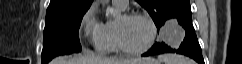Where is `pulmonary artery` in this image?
Listing matches in <instances>:
<instances>
[{"instance_id": "pulmonary-artery-1", "label": "pulmonary artery", "mask_w": 242, "mask_h": 64, "mask_svg": "<svg viewBox=\"0 0 242 64\" xmlns=\"http://www.w3.org/2000/svg\"><path fill=\"white\" fill-rule=\"evenodd\" d=\"M112 2L120 10H125L128 6V0H113Z\"/></svg>"}]
</instances>
